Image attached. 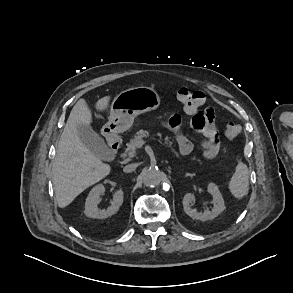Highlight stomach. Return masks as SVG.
Segmentation results:
<instances>
[{"instance_id":"0dacf381","label":"stomach","mask_w":293,"mask_h":293,"mask_svg":"<svg viewBox=\"0 0 293 293\" xmlns=\"http://www.w3.org/2000/svg\"><path fill=\"white\" fill-rule=\"evenodd\" d=\"M160 103L158 93L150 87L122 91L111 104L109 121L103 127V132L107 135L125 132L132 126L137 115L156 110Z\"/></svg>"}]
</instances>
